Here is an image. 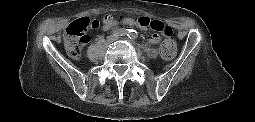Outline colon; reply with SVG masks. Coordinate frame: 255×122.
Wrapping results in <instances>:
<instances>
[{"mask_svg":"<svg viewBox=\"0 0 255 122\" xmlns=\"http://www.w3.org/2000/svg\"><path fill=\"white\" fill-rule=\"evenodd\" d=\"M128 17L118 16L115 20L119 23L126 22ZM114 21L111 17L102 19V24H111ZM138 27L142 29H151L161 34L164 39L160 45V54L164 59H172L177 52V45L173 38V30L170 26L161 21L149 17H139L136 19ZM99 21H90L87 18H80L70 23L65 30V47L69 55L73 58H79L83 48L89 43V30L99 27Z\"/></svg>","mask_w":255,"mask_h":122,"instance_id":"1","label":"colon"}]
</instances>
